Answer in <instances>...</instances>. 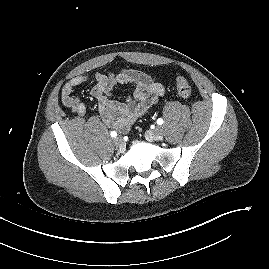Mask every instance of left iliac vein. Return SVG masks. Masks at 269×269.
<instances>
[{
	"label": "left iliac vein",
	"mask_w": 269,
	"mask_h": 269,
	"mask_svg": "<svg viewBox=\"0 0 269 269\" xmlns=\"http://www.w3.org/2000/svg\"><path fill=\"white\" fill-rule=\"evenodd\" d=\"M146 137L150 140H161L163 137V130L161 127H156L155 129L149 131Z\"/></svg>",
	"instance_id": "4c4485c4"
}]
</instances>
